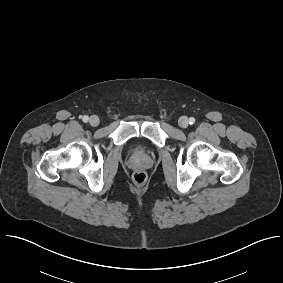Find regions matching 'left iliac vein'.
I'll list each match as a JSON object with an SVG mask.
<instances>
[{"label":"left iliac vein","mask_w":283,"mask_h":283,"mask_svg":"<svg viewBox=\"0 0 283 283\" xmlns=\"http://www.w3.org/2000/svg\"><path fill=\"white\" fill-rule=\"evenodd\" d=\"M178 124L181 128H187L189 125V120L187 117L183 116L178 120Z\"/></svg>","instance_id":"obj_1"}]
</instances>
